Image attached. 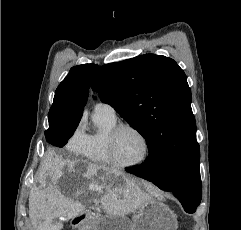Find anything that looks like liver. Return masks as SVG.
Listing matches in <instances>:
<instances>
[{"mask_svg": "<svg viewBox=\"0 0 241 230\" xmlns=\"http://www.w3.org/2000/svg\"><path fill=\"white\" fill-rule=\"evenodd\" d=\"M48 174H42L37 178L38 186H34L29 194V217L34 230H61V223H53L55 217L73 218L84 211V206L75 200L86 190L97 192L101 195V207L110 216L123 217L135 212L142 207L151 196L134 181H126L124 184L111 182V175L125 176L120 170L97 164H88L82 171L77 163L69 159H62L55 152L48 156ZM99 171L101 174H99ZM50 183L47 185V176ZM82 175L86 179L73 197L70 194L61 193L59 180L64 177H76ZM98 188V189H92Z\"/></svg>", "mask_w": 241, "mask_h": 230, "instance_id": "6515ba94", "label": "liver"}]
</instances>
